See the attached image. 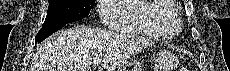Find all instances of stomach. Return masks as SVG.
<instances>
[{
  "mask_svg": "<svg viewBox=\"0 0 230 71\" xmlns=\"http://www.w3.org/2000/svg\"><path fill=\"white\" fill-rule=\"evenodd\" d=\"M159 71H172L177 65L176 56L170 51H161L157 54ZM120 71H141L137 66H125Z\"/></svg>",
  "mask_w": 230,
  "mask_h": 71,
  "instance_id": "0dacf381",
  "label": "stomach"
}]
</instances>
